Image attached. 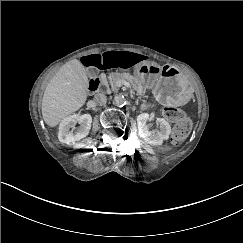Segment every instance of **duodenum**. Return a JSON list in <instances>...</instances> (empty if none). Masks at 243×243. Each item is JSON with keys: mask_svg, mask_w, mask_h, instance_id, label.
<instances>
[{"mask_svg": "<svg viewBox=\"0 0 243 243\" xmlns=\"http://www.w3.org/2000/svg\"><path fill=\"white\" fill-rule=\"evenodd\" d=\"M99 85V79L98 78H92L89 82L88 89L90 92H94L97 90Z\"/></svg>", "mask_w": 243, "mask_h": 243, "instance_id": "obj_1", "label": "duodenum"}]
</instances>
